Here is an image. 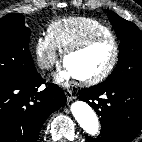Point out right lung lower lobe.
<instances>
[{
  "label": "right lung lower lobe",
  "mask_w": 142,
  "mask_h": 142,
  "mask_svg": "<svg viewBox=\"0 0 142 142\" xmlns=\"http://www.w3.org/2000/svg\"><path fill=\"white\" fill-rule=\"evenodd\" d=\"M39 73L14 82L0 83V142H37L48 116L66 103L62 89Z\"/></svg>",
  "instance_id": "98d812e1"
}]
</instances>
